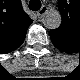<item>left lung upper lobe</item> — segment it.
Instances as JSON below:
<instances>
[{
    "label": "left lung upper lobe",
    "mask_w": 80,
    "mask_h": 80,
    "mask_svg": "<svg viewBox=\"0 0 80 80\" xmlns=\"http://www.w3.org/2000/svg\"><path fill=\"white\" fill-rule=\"evenodd\" d=\"M60 10V9H59ZM61 14H62V24L59 28L55 29V30H51L50 34L52 39H56V37H60V38H66L68 37V29H70V27L72 28V26H70L72 24L71 21H73V15L70 14V16H67L68 11H64V10H60ZM71 21H70V19Z\"/></svg>",
    "instance_id": "5c2ea615"
}]
</instances>
